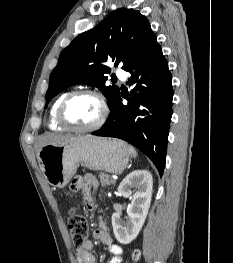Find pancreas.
I'll use <instances>...</instances> for the list:
<instances>
[{"label":"pancreas","instance_id":"cf45deb5","mask_svg":"<svg viewBox=\"0 0 233 263\" xmlns=\"http://www.w3.org/2000/svg\"><path fill=\"white\" fill-rule=\"evenodd\" d=\"M99 179H100V182H101L102 186H108L110 184H114L115 183V181L110 179L109 175L105 174V173H100L99 174Z\"/></svg>","mask_w":233,"mask_h":263}]
</instances>
